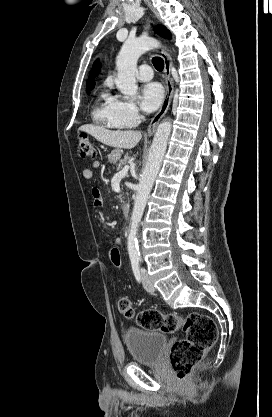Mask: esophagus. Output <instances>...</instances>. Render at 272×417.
I'll return each instance as SVG.
<instances>
[{
    "mask_svg": "<svg viewBox=\"0 0 272 417\" xmlns=\"http://www.w3.org/2000/svg\"><path fill=\"white\" fill-rule=\"evenodd\" d=\"M161 56L164 61L166 94H165V98L163 100V103L159 111L156 113V115L154 116V118L152 119L151 123L148 126L147 133L149 135H152L155 132L158 123L168 111L170 103H171V99L173 96V92H174L173 80L171 78V67H172L171 57L169 56V54L167 53L165 49H162Z\"/></svg>",
    "mask_w": 272,
    "mask_h": 417,
    "instance_id": "34e87169",
    "label": "esophagus"
}]
</instances>
